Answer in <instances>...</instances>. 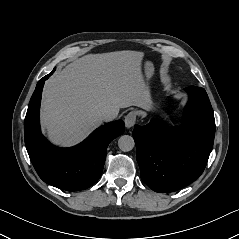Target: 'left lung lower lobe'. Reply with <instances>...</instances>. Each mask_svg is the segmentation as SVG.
Returning <instances> with one entry per match:
<instances>
[{
  "mask_svg": "<svg viewBox=\"0 0 239 239\" xmlns=\"http://www.w3.org/2000/svg\"><path fill=\"white\" fill-rule=\"evenodd\" d=\"M184 90L189 101L181 127L157 119L134 127L141 178L155 192L177 191L195 181L213 147L215 120L206 91L196 86Z\"/></svg>",
  "mask_w": 239,
  "mask_h": 239,
  "instance_id": "1",
  "label": "left lung lower lobe"
}]
</instances>
